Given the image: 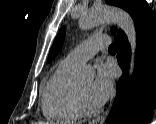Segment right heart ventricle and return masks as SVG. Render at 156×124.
I'll return each instance as SVG.
<instances>
[{
    "mask_svg": "<svg viewBox=\"0 0 156 124\" xmlns=\"http://www.w3.org/2000/svg\"><path fill=\"white\" fill-rule=\"evenodd\" d=\"M73 68V65L62 61L44 87L42 112L50 121L71 124L77 122L82 116L76 84L70 78Z\"/></svg>",
    "mask_w": 156,
    "mask_h": 124,
    "instance_id": "right-heart-ventricle-1",
    "label": "right heart ventricle"
}]
</instances>
